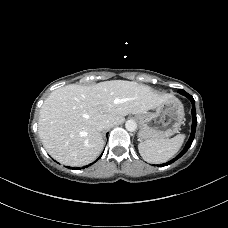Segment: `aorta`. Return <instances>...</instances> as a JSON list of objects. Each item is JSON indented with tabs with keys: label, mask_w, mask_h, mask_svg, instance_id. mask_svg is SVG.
<instances>
[{
	"label": "aorta",
	"mask_w": 228,
	"mask_h": 228,
	"mask_svg": "<svg viewBox=\"0 0 228 228\" xmlns=\"http://www.w3.org/2000/svg\"><path fill=\"white\" fill-rule=\"evenodd\" d=\"M125 128L128 131L133 132L137 129V123L134 120H128L125 123Z\"/></svg>",
	"instance_id": "762f6f07"
}]
</instances>
